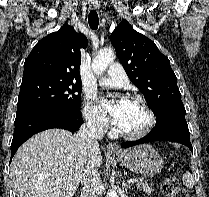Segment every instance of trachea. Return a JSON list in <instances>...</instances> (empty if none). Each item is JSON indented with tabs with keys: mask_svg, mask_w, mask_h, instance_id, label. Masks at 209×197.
Instances as JSON below:
<instances>
[{
	"mask_svg": "<svg viewBox=\"0 0 209 197\" xmlns=\"http://www.w3.org/2000/svg\"><path fill=\"white\" fill-rule=\"evenodd\" d=\"M88 23L91 29L96 30L99 25V18L96 10H91L88 15Z\"/></svg>",
	"mask_w": 209,
	"mask_h": 197,
	"instance_id": "trachea-1",
	"label": "trachea"
}]
</instances>
